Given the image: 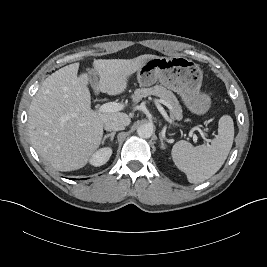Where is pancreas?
Returning a JSON list of instances; mask_svg holds the SVG:
<instances>
[{"instance_id": "pancreas-1", "label": "pancreas", "mask_w": 267, "mask_h": 267, "mask_svg": "<svg viewBox=\"0 0 267 267\" xmlns=\"http://www.w3.org/2000/svg\"><path fill=\"white\" fill-rule=\"evenodd\" d=\"M154 95L161 98L166 104L170 106L171 118L175 120H181L183 117L182 108L179 105V102L176 96L165 87L161 85H155L150 88H139L136 89L132 98L134 101H140L142 98Z\"/></svg>"}]
</instances>
